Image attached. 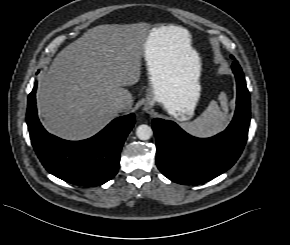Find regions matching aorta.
<instances>
[{
  "label": "aorta",
  "instance_id": "762f6f07",
  "mask_svg": "<svg viewBox=\"0 0 290 245\" xmlns=\"http://www.w3.org/2000/svg\"><path fill=\"white\" fill-rule=\"evenodd\" d=\"M136 135L140 140H149L153 135V130L150 126L142 124L137 127Z\"/></svg>",
  "mask_w": 290,
  "mask_h": 245
}]
</instances>
